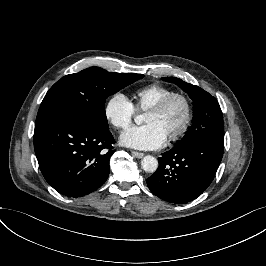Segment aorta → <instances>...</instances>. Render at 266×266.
<instances>
[{
  "mask_svg": "<svg viewBox=\"0 0 266 266\" xmlns=\"http://www.w3.org/2000/svg\"><path fill=\"white\" fill-rule=\"evenodd\" d=\"M133 121L135 124L138 126H141L145 122V114L144 113H139L133 116ZM158 161L155 157L153 156H145L143 157L141 161V167L142 169L147 172V173H154L158 169Z\"/></svg>",
  "mask_w": 266,
  "mask_h": 266,
  "instance_id": "aorta-1",
  "label": "aorta"
}]
</instances>
